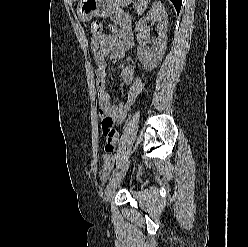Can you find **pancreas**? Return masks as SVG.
Listing matches in <instances>:
<instances>
[{"label":"pancreas","instance_id":"cf45deb5","mask_svg":"<svg viewBox=\"0 0 248 247\" xmlns=\"http://www.w3.org/2000/svg\"><path fill=\"white\" fill-rule=\"evenodd\" d=\"M113 21L115 22V25H118L121 28L127 29L131 26V20L126 13L123 17H115Z\"/></svg>","mask_w":248,"mask_h":247}]
</instances>
